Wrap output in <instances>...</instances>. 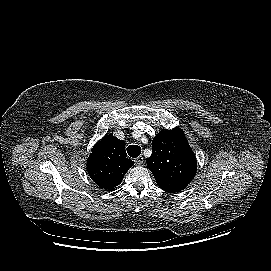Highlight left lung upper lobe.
<instances>
[{
    "instance_id": "obj_1",
    "label": "left lung upper lobe",
    "mask_w": 271,
    "mask_h": 271,
    "mask_svg": "<svg viewBox=\"0 0 271 271\" xmlns=\"http://www.w3.org/2000/svg\"><path fill=\"white\" fill-rule=\"evenodd\" d=\"M157 185L167 192L183 190L194 178L196 157L180 128L162 130L153 138L152 154L146 158Z\"/></svg>"
}]
</instances>
